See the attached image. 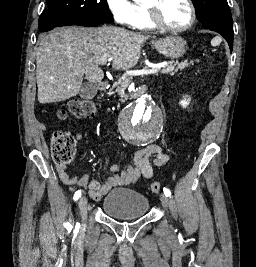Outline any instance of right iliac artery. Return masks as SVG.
I'll use <instances>...</instances> for the list:
<instances>
[{
	"instance_id": "obj_1",
	"label": "right iliac artery",
	"mask_w": 256,
	"mask_h": 267,
	"mask_svg": "<svg viewBox=\"0 0 256 267\" xmlns=\"http://www.w3.org/2000/svg\"><path fill=\"white\" fill-rule=\"evenodd\" d=\"M81 197V190L75 192L73 199L76 201Z\"/></svg>"
}]
</instances>
